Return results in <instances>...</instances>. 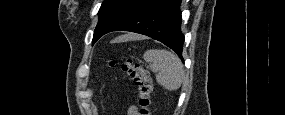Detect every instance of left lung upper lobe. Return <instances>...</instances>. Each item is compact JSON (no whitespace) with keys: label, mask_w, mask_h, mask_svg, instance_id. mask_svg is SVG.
I'll return each instance as SVG.
<instances>
[{"label":"left lung upper lobe","mask_w":285,"mask_h":115,"mask_svg":"<svg viewBox=\"0 0 285 115\" xmlns=\"http://www.w3.org/2000/svg\"><path fill=\"white\" fill-rule=\"evenodd\" d=\"M131 0H104L102 3L98 16V24L95 28L92 43L94 44L101 36L113 17Z\"/></svg>","instance_id":"obj_1"}]
</instances>
